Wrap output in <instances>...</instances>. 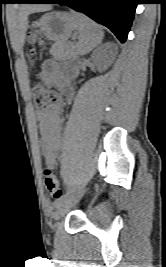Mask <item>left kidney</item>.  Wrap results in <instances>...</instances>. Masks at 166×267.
Returning a JSON list of instances; mask_svg holds the SVG:
<instances>
[{"label": "left kidney", "instance_id": "left-kidney-1", "mask_svg": "<svg viewBox=\"0 0 166 267\" xmlns=\"http://www.w3.org/2000/svg\"><path fill=\"white\" fill-rule=\"evenodd\" d=\"M106 46L112 47V44L108 43ZM92 59L99 72L107 70L108 67L112 64V58L108 57L107 55L95 53L92 56Z\"/></svg>", "mask_w": 166, "mask_h": 267}]
</instances>
